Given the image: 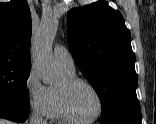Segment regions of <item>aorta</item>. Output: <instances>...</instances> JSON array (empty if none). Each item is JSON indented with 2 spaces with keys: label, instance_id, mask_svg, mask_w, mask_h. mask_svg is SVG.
I'll return each mask as SVG.
<instances>
[{
  "label": "aorta",
  "instance_id": "obj_1",
  "mask_svg": "<svg viewBox=\"0 0 156 124\" xmlns=\"http://www.w3.org/2000/svg\"><path fill=\"white\" fill-rule=\"evenodd\" d=\"M58 22L55 19H44L32 43V58L44 84L53 83L59 70L52 57V42L57 31Z\"/></svg>",
  "mask_w": 156,
  "mask_h": 124
}]
</instances>
